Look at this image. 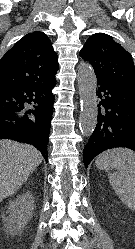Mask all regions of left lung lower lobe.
Segmentation results:
<instances>
[{"mask_svg": "<svg viewBox=\"0 0 135 249\" xmlns=\"http://www.w3.org/2000/svg\"><path fill=\"white\" fill-rule=\"evenodd\" d=\"M97 85V124L83 151L86 168L107 149L126 147L135 151V90L102 80H97Z\"/></svg>", "mask_w": 135, "mask_h": 249, "instance_id": "1", "label": "left lung lower lobe"}]
</instances>
